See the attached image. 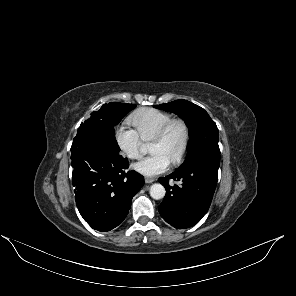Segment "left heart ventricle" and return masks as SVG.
Segmentation results:
<instances>
[{"label":"left heart ventricle","instance_id":"b2bd125f","mask_svg":"<svg viewBox=\"0 0 296 296\" xmlns=\"http://www.w3.org/2000/svg\"><path fill=\"white\" fill-rule=\"evenodd\" d=\"M184 137L183 128L180 125H175L165 140L151 143L150 151L152 153L161 152L172 161L180 153L184 143Z\"/></svg>","mask_w":296,"mask_h":296}]
</instances>
